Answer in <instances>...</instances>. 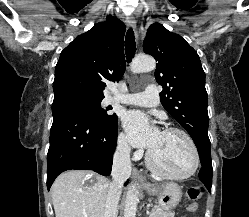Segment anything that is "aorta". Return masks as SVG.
Wrapping results in <instances>:
<instances>
[{
  "instance_id": "762f6f07",
  "label": "aorta",
  "mask_w": 249,
  "mask_h": 217,
  "mask_svg": "<svg viewBox=\"0 0 249 217\" xmlns=\"http://www.w3.org/2000/svg\"><path fill=\"white\" fill-rule=\"evenodd\" d=\"M156 68V61L150 56H137L131 65L133 73H142L152 71ZM137 189L136 184L132 183L127 192L125 201L124 217H136L137 211Z\"/></svg>"
}]
</instances>
